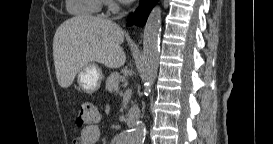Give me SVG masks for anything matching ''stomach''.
Wrapping results in <instances>:
<instances>
[{"label": "stomach", "mask_w": 273, "mask_h": 144, "mask_svg": "<svg viewBox=\"0 0 273 144\" xmlns=\"http://www.w3.org/2000/svg\"><path fill=\"white\" fill-rule=\"evenodd\" d=\"M103 80V73L99 66L94 62L86 64L79 70L77 75V83L79 87L86 93H94L100 88Z\"/></svg>", "instance_id": "obj_1"}]
</instances>
